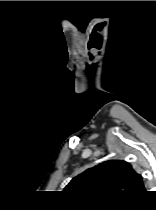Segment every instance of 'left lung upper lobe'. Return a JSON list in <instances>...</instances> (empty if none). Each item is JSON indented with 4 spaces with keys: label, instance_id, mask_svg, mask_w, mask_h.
Wrapping results in <instances>:
<instances>
[{
    "label": "left lung upper lobe",
    "instance_id": "left-lung-upper-lobe-1",
    "mask_svg": "<svg viewBox=\"0 0 156 210\" xmlns=\"http://www.w3.org/2000/svg\"><path fill=\"white\" fill-rule=\"evenodd\" d=\"M66 191L134 196L145 192L142 176L122 160H110L73 178Z\"/></svg>",
    "mask_w": 156,
    "mask_h": 210
}]
</instances>
